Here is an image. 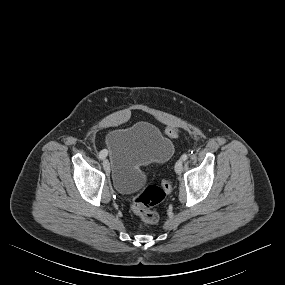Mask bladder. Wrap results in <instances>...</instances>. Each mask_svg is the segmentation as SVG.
<instances>
[{
	"label": "bladder",
	"mask_w": 285,
	"mask_h": 285,
	"mask_svg": "<svg viewBox=\"0 0 285 285\" xmlns=\"http://www.w3.org/2000/svg\"><path fill=\"white\" fill-rule=\"evenodd\" d=\"M105 146L113 187L123 195L133 194L144 185L143 167L166 161L174 150L163 132L149 122L110 131Z\"/></svg>",
	"instance_id": "obj_1"
}]
</instances>
